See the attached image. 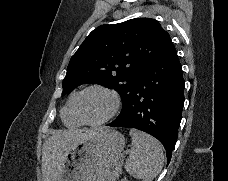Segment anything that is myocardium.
Masks as SVG:
<instances>
[{"label": "myocardium", "mask_w": 228, "mask_h": 181, "mask_svg": "<svg viewBox=\"0 0 228 181\" xmlns=\"http://www.w3.org/2000/svg\"><path fill=\"white\" fill-rule=\"evenodd\" d=\"M89 91L102 92L105 95H107L110 100V104H109L108 108L106 109V111L103 113V115L101 117H99L98 119L92 120V121L84 120L81 117L80 112H79V100L83 94H85L86 92H89ZM120 105H121V100H120L119 94L116 91H114L113 89L106 87V86H102V85L90 86V87L84 89L76 96V98L74 100V110H75V113L78 116V118L81 120V122L88 124V125H93V126L102 124L105 121H107L108 119H110L111 117H113L116 114V112L118 111V109L120 108Z\"/></svg>", "instance_id": "myocardium-1"}]
</instances>
